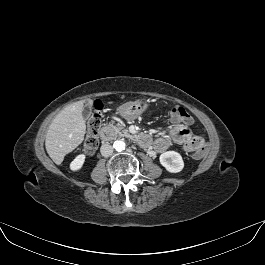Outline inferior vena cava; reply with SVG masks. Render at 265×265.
Segmentation results:
<instances>
[{
	"label": "inferior vena cava",
	"mask_w": 265,
	"mask_h": 265,
	"mask_svg": "<svg viewBox=\"0 0 265 265\" xmlns=\"http://www.w3.org/2000/svg\"><path fill=\"white\" fill-rule=\"evenodd\" d=\"M103 157H109L113 153V147L109 144H103L100 148Z\"/></svg>",
	"instance_id": "602c4592"
}]
</instances>
